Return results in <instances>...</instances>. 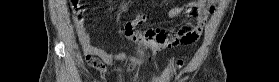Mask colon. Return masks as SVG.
Instances as JSON below:
<instances>
[{"mask_svg":"<svg viewBox=\"0 0 279 82\" xmlns=\"http://www.w3.org/2000/svg\"><path fill=\"white\" fill-rule=\"evenodd\" d=\"M205 2L215 5V4L218 2V0H209V1H205ZM185 59H186V58H180V59L178 60V62H177V66H178V67L183 66V64L185 63Z\"/></svg>","mask_w":279,"mask_h":82,"instance_id":"colon-1","label":"colon"}]
</instances>
